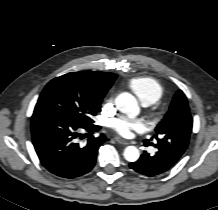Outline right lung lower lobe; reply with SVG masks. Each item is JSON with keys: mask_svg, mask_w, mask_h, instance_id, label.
I'll list each match as a JSON object with an SVG mask.
<instances>
[{"mask_svg": "<svg viewBox=\"0 0 218 210\" xmlns=\"http://www.w3.org/2000/svg\"><path fill=\"white\" fill-rule=\"evenodd\" d=\"M99 129L93 123L80 124L56 113H36L31 119L32 142L41 164L52 174L68 179L94 167L98 148L106 137L90 136L84 145L76 138L81 130L93 134Z\"/></svg>", "mask_w": 218, "mask_h": 210, "instance_id": "98d812e1", "label": "right lung lower lobe"}]
</instances>
